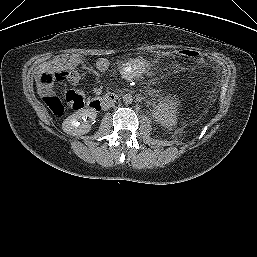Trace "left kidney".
I'll return each instance as SVG.
<instances>
[{
	"instance_id": "left-kidney-1",
	"label": "left kidney",
	"mask_w": 257,
	"mask_h": 257,
	"mask_svg": "<svg viewBox=\"0 0 257 257\" xmlns=\"http://www.w3.org/2000/svg\"><path fill=\"white\" fill-rule=\"evenodd\" d=\"M177 102L162 101L155 109L154 117L163 126L172 127L177 123Z\"/></svg>"
}]
</instances>
